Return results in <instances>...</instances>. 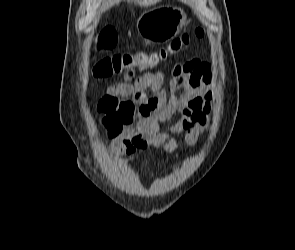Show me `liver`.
I'll use <instances>...</instances> for the list:
<instances>
[{
  "instance_id": "1",
  "label": "liver",
  "mask_w": 295,
  "mask_h": 250,
  "mask_svg": "<svg viewBox=\"0 0 295 250\" xmlns=\"http://www.w3.org/2000/svg\"><path fill=\"white\" fill-rule=\"evenodd\" d=\"M158 0H134V3L139 6H150L157 3Z\"/></svg>"
}]
</instances>
